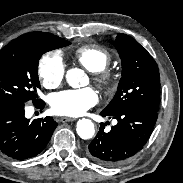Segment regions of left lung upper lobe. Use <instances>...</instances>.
Listing matches in <instances>:
<instances>
[{
  "instance_id": "left-lung-upper-lobe-1",
  "label": "left lung upper lobe",
  "mask_w": 183,
  "mask_h": 183,
  "mask_svg": "<svg viewBox=\"0 0 183 183\" xmlns=\"http://www.w3.org/2000/svg\"><path fill=\"white\" fill-rule=\"evenodd\" d=\"M113 43L121 58L122 77L114 98L102 112L114 114L131 107L158 111L160 77L155 60L126 34H118Z\"/></svg>"
}]
</instances>
